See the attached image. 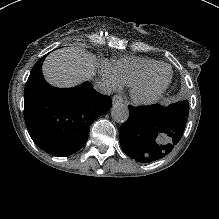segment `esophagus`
Returning <instances> with one entry per match:
<instances>
[{"instance_id": "obj_1", "label": "esophagus", "mask_w": 219, "mask_h": 219, "mask_svg": "<svg viewBox=\"0 0 219 219\" xmlns=\"http://www.w3.org/2000/svg\"><path fill=\"white\" fill-rule=\"evenodd\" d=\"M112 102H113V103L123 102V98H122V96H120V95H114V96L112 97Z\"/></svg>"}]
</instances>
